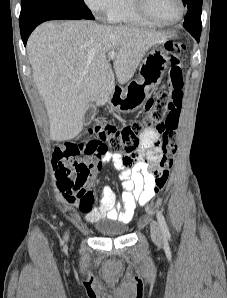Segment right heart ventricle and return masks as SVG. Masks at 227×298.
Returning <instances> with one entry per match:
<instances>
[{
    "mask_svg": "<svg viewBox=\"0 0 227 298\" xmlns=\"http://www.w3.org/2000/svg\"><path fill=\"white\" fill-rule=\"evenodd\" d=\"M106 16L110 23L115 24L138 27L153 25L138 15L133 7L132 0H117L114 8H112Z\"/></svg>",
    "mask_w": 227,
    "mask_h": 298,
    "instance_id": "right-heart-ventricle-1",
    "label": "right heart ventricle"
}]
</instances>
